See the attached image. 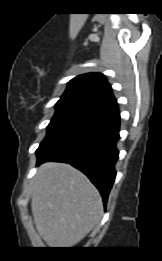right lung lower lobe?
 Returning a JSON list of instances; mask_svg holds the SVG:
<instances>
[{
	"label": "right lung lower lobe",
	"instance_id": "right-lung-lower-lobe-1",
	"mask_svg": "<svg viewBox=\"0 0 162 261\" xmlns=\"http://www.w3.org/2000/svg\"><path fill=\"white\" fill-rule=\"evenodd\" d=\"M120 114L116 102L88 114L50 136L37 149L38 164L69 163L100 191L104 205L114 183Z\"/></svg>",
	"mask_w": 162,
	"mask_h": 261
}]
</instances>
